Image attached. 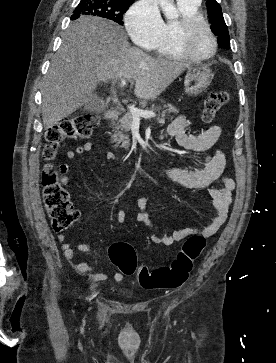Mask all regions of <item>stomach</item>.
I'll return each mask as SVG.
<instances>
[{"label": "stomach", "instance_id": "obj_1", "mask_svg": "<svg viewBox=\"0 0 276 363\" xmlns=\"http://www.w3.org/2000/svg\"><path fill=\"white\" fill-rule=\"evenodd\" d=\"M212 78V71L207 67L189 68L184 79L185 93L193 97L202 94Z\"/></svg>", "mask_w": 276, "mask_h": 363}]
</instances>
